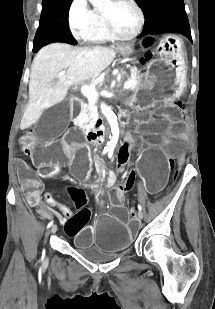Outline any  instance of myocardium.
Segmentation results:
<instances>
[{"mask_svg": "<svg viewBox=\"0 0 215 309\" xmlns=\"http://www.w3.org/2000/svg\"><path fill=\"white\" fill-rule=\"evenodd\" d=\"M120 7H125L131 11L133 15V25L132 27H113V21L111 19H106L103 23L105 28L103 30H107V34L110 35L111 38H117L119 43H122L124 39L131 40L135 38L142 25V15L139 9L132 4H121Z\"/></svg>", "mask_w": 215, "mask_h": 309, "instance_id": "f54148a6", "label": "myocardium"}]
</instances>
